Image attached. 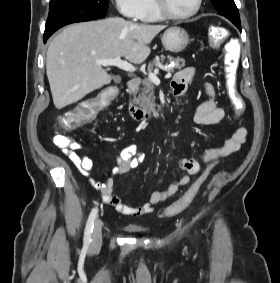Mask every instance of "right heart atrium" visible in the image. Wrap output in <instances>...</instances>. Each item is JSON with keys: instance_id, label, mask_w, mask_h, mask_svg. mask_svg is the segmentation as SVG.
<instances>
[{"instance_id": "1", "label": "right heart atrium", "mask_w": 280, "mask_h": 283, "mask_svg": "<svg viewBox=\"0 0 280 283\" xmlns=\"http://www.w3.org/2000/svg\"><path fill=\"white\" fill-rule=\"evenodd\" d=\"M119 12L130 20H139L142 18L146 0H115Z\"/></svg>"}]
</instances>
